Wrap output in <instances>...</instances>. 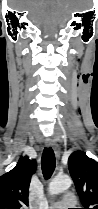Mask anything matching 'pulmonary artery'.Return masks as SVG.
Here are the masks:
<instances>
[{
	"label": "pulmonary artery",
	"instance_id": "obj_1",
	"mask_svg": "<svg viewBox=\"0 0 98 209\" xmlns=\"http://www.w3.org/2000/svg\"><path fill=\"white\" fill-rule=\"evenodd\" d=\"M77 204V198L74 193H66L62 200L55 202L49 206V209H68L69 207H75Z\"/></svg>",
	"mask_w": 98,
	"mask_h": 209
}]
</instances>
